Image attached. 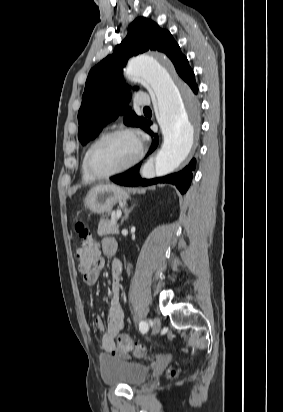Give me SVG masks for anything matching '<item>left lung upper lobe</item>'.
Instances as JSON below:
<instances>
[{
	"label": "left lung upper lobe",
	"instance_id": "obj_1",
	"mask_svg": "<svg viewBox=\"0 0 283 412\" xmlns=\"http://www.w3.org/2000/svg\"><path fill=\"white\" fill-rule=\"evenodd\" d=\"M148 50L166 54L183 80L192 71L169 31L149 19L137 18L130 24L126 38L116 46L115 52L89 72L78 112L81 144L96 138L103 127L119 115L125 114L126 125L145 128L149 120L127 112L129 87L123 81L122 68L131 56Z\"/></svg>",
	"mask_w": 283,
	"mask_h": 412
}]
</instances>
